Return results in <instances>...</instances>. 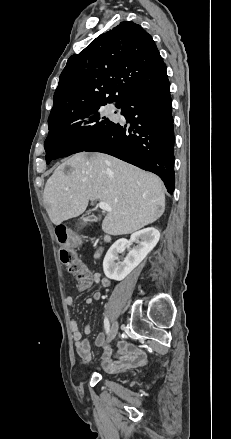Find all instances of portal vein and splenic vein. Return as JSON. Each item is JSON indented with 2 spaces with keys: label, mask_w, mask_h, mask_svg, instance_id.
Segmentation results:
<instances>
[{
  "label": "portal vein and splenic vein",
  "mask_w": 231,
  "mask_h": 439,
  "mask_svg": "<svg viewBox=\"0 0 231 439\" xmlns=\"http://www.w3.org/2000/svg\"><path fill=\"white\" fill-rule=\"evenodd\" d=\"M98 206H99L100 209H102L104 211H108V212L112 211V207L109 204L105 203V202H102V201L99 202Z\"/></svg>",
  "instance_id": "1"
}]
</instances>
